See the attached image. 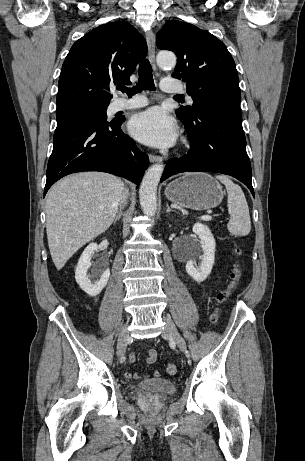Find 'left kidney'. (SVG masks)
Returning <instances> with one entry per match:
<instances>
[{
    "label": "left kidney",
    "mask_w": 305,
    "mask_h": 461,
    "mask_svg": "<svg viewBox=\"0 0 305 461\" xmlns=\"http://www.w3.org/2000/svg\"><path fill=\"white\" fill-rule=\"evenodd\" d=\"M193 232L200 238V248L192 243L186 246L189 260L186 262V271L197 282L204 281L211 273L215 261V239L210 229L201 223L193 226ZM195 256H199L201 263L195 264Z\"/></svg>",
    "instance_id": "1"
}]
</instances>
